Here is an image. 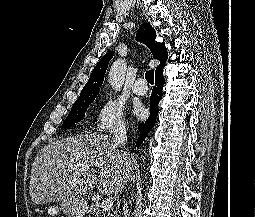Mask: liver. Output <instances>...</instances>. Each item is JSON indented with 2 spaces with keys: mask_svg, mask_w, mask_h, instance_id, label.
Wrapping results in <instances>:
<instances>
[{
  "mask_svg": "<svg viewBox=\"0 0 255 217\" xmlns=\"http://www.w3.org/2000/svg\"><path fill=\"white\" fill-rule=\"evenodd\" d=\"M71 165L86 169L69 175ZM132 171L130 156L116 150L110 137L81 134L51 142L39 151L32 165L29 194L35 204L72 202L83 199L97 184L101 193L116 195Z\"/></svg>",
  "mask_w": 255,
  "mask_h": 217,
  "instance_id": "6515ba94",
  "label": "liver"
}]
</instances>
